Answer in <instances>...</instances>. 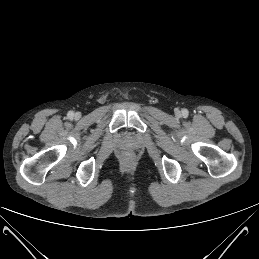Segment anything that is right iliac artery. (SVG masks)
I'll list each match as a JSON object with an SVG mask.
<instances>
[{"label":"right iliac artery","mask_w":259,"mask_h":259,"mask_svg":"<svg viewBox=\"0 0 259 259\" xmlns=\"http://www.w3.org/2000/svg\"><path fill=\"white\" fill-rule=\"evenodd\" d=\"M67 116H68L69 119H72L73 116H74V112L73 111H69Z\"/></svg>","instance_id":"1"}]
</instances>
